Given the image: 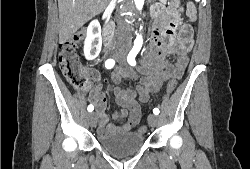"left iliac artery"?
Returning <instances> with one entry per match:
<instances>
[{"label":"left iliac artery","instance_id":"1","mask_svg":"<svg viewBox=\"0 0 250 169\" xmlns=\"http://www.w3.org/2000/svg\"><path fill=\"white\" fill-rule=\"evenodd\" d=\"M139 50H132L130 51V53L128 54V57H127V61L128 63L131 65V66H135L136 65V61H135V57L136 55L138 54ZM159 109L158 108H154L153 109V113L155 115H158L159 114Z\"/></svg>","mask_w":250,"mask_h":169}]
</instances>
